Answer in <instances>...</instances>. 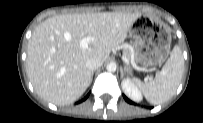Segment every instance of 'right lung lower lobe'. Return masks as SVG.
<instances>
[{"instance_id":"right-lung-lower-lobe-1","label":"right lung lower lobe","mask_w":203,"mask_h":123,"mask_svg":"<svg viewBox=\"0 0 203 123\" xmlns=\"http://www.w3.org/2000/svg\"><path fill=\"white\" fill-rule=\"evenodd\" d=\"M89 95V94H88ZM88 95L84 98V100L88 97Z\"/></svg>"}]
</instances>
